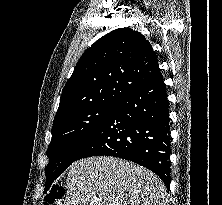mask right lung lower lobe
Masks as SVG:
<instances>
[{
  "instance_id": "obj_1",
  "label": "right lung lower lobe",
  "mask_w": 222,
  "mask_h": 205,
  "mask_svg": "<svg viewBox=\"0 0 222 205\" xmlns=\"http://www.w3.org/2000/svg\"><path fill=\"white\" fill-rule=\"evenodd\" d=\"M162 75L130 91L105 118L76 160L99 155L123 158L170 184V126ZM75 160V161H76Z\"/></svg>"
}]
</instances>
